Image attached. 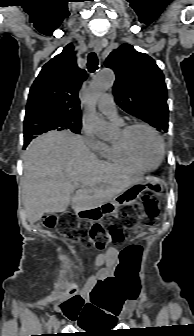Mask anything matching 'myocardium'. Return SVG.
<instances>
[{
    "label": "myocardium",
    "instance_id": "1",
    "mask_svg": "<svg viewBox=\"0 0 194 336\" xmlns=\"http://www.w3.org/2000/svg\"><path fill=\"white\" fill-rule=\"evenodd\" d=\"M137 128H144L149 130L150 132H152L154 134V136L156 137L159 146H160V159L159 161L154 164V165H149L147 163H145L144 161H142L137 153L135 152L132 142H131V134L132 132L137 129ZM119 142L121 143V145L123 146V148L126 150V152L140 165L144 166L145 168L152 170L157 168L163 161L164 159V155H165V145H164V141L160 135V133L157 131L156 128H154L152 125L145 123V122H134L131 124L126 125L125 127H123V129L121 130V135L119 138Z\"/></svg>",
    "mask_w": 194,
    "mask_h": 336
}]
</instances>
